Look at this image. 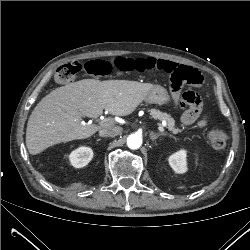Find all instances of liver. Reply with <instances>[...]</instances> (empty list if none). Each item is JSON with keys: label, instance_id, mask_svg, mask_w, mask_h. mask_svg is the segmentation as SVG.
Returning <instances> with one entry per match:
<instances>
[{"label": "liver", "instance_id": "1", "mask_svg": "<svg viewBox=\"0 0 250 250\" xmlns=\"http://www.w3.org/2000/svg\"><path fill=\"white\" fill-rule=\"evenodd\" d=\"M155 86L128 80L84 79L56 88L32 111L26 129V146L31 155L48 147L86 139L101 129L83 124L82 117L97 118L108 111L115 116L132 114Z\"/></svg>", "mask_w": 250, "mask_h": 250}]
</instances>
